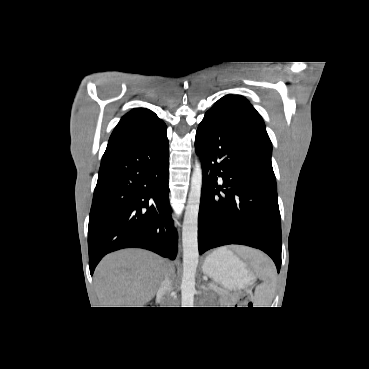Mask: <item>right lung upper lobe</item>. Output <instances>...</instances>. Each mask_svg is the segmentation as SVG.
Instances as JSON below:
<instances>
[{"mask_svg":"<svg viewBox=\"0 0 369 369\" xmlns=\"http://www.w3.org/2000/svg\"><path fill=\"white\" fill-rule=\"evenodd\" d=\"M165 123L146 108H136L124 115L110 136L105 152L159 134Z\"/></svg>","mask_w":369,"mask_h":369,"instance_id":"right-lung-upper-lobe-1","label":"right lung upper lobe"}]
</instances>
